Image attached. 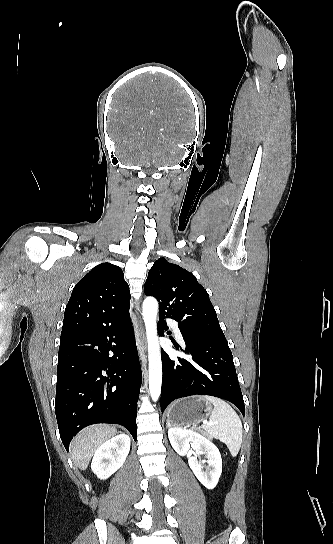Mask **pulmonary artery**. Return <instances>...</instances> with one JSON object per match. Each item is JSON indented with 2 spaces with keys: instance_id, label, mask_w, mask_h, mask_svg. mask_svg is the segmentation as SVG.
Here are the masks:
<instances>
[{
  "instance_id": "e3ab8cb5",
  "label": "pulmonary artery",
  "mask_w": 333,
  "mask_h": 544,
  "mask_svg": "<svg viewBox=\"0 0 333 544\" xmlns=\"http://www.w3.org/2000/svg\"><path fill=\"white\" fill-rule=\"evenodd\" d=\"M168 322L171 324V326L173 327V330L175 332V335L177 336V338L182 341V334L179 330V327H178V323L175 321V320H172V319H169Z\"/></svg>"
}]
</instances>
